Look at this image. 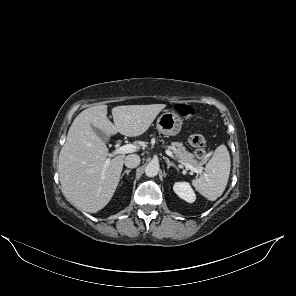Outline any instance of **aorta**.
<instances>
[{
    "label": "aorta",
    "instance_id": "obj_1",
    "mask_svg": "<svg viewBox=\"0 0 296 296\" xmlns=\"http://www.w3.org/2000/svg\"><path fill=\"white\" fill-rule=\"evenodd\" d=\"M159 169V164L157 162H150L145 168V174L148 177H154L158 174Z\"/></svg>",
    "mask_w": 296,
    "mask_h": 296
}]
</instances>
